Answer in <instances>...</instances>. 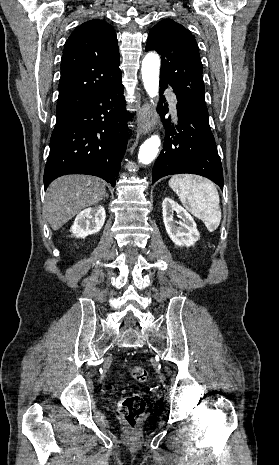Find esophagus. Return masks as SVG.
<instances>
[{
	"label": "esophagus",
	"mask_w": 279,
	"mask_h": 465,
	"mask_svg": "<svg viewBox=\"0 0 279 465\" xmlns=\"http://www.w3.org/2000/svg\"><path fill=\"white\" fill-rule=\"evenodd\" d=\"M140 123H139V131L142 134H146L151 131L154 127V111L153 107L150 103L145 102L139 112Z\"/></svg>",
	"instance_id": "1"
}]
</instances>
